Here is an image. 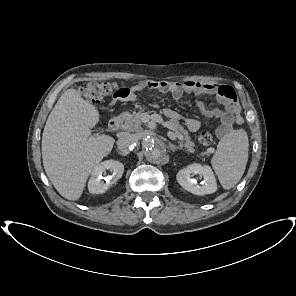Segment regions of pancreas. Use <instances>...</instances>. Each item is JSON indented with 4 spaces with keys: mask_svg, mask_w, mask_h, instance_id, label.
<instances>
[{
    "mask_svg": "<svg viewBox=\"0 0 296 296\" xmlns=\"http://www.w3.org/2000/svg\"><path fill=\"white\" fill-rule=\"evenodd\" d=\"M145 114H149V112H145L141 110L137 113L130 114L129 112H125L120 115L122 121V129L127 132H137L141 129L143 125V116ZM166 127L172 130L177 138L179 139L180 146L184 147L188 152L194 151V143L191 141V137L188 132L184 129L182 125H180L179 121L176 119H171L165 122Z\"/></svg>",
    "mask_w": 296,
    "mask_h": 296,
    "instance_id": "cf45deb5",
    "label": "pancreas"
}]
</instances>
